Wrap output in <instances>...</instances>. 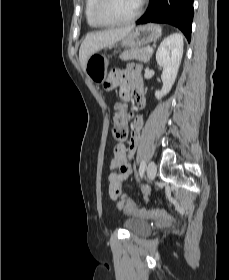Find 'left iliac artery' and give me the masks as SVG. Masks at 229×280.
Here are the masks:
<instances>
[{"label":"left iliac artery","instance_id":"left-iliac-artery-1","mask_svg":"<svg viewBox=\"0 0 229 280\" xmlns=\"http://www.w3.org/2000/svg\"><path fill=\"white\" fill-rule=\"evenodd\" d=\"M145 167H146V163H145L144 160H142L141 163H140V167H139V174H140L141 178H142V176L144 174Z\"/></svg>","mask_w":229,"mask_h":280}]
</instances>
